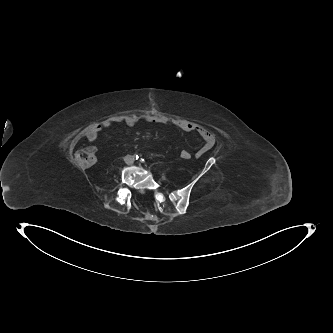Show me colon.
<instances>
[{"label": "colon", "mask_w": 333, "mask_h": 333, "mask_svg": "<svg viewBox=\"0 0 333 333\" xmlns=\"http://www.w3.org/2000/svg\"><path fill=\"white\" fill-rule=\"evenodd\" d=\"M180 157L183 160H190L193 154L186 149L180 150ZM75 161L81 167H90L96 161L95 150L93 148H82L75 153Z\"/></svg>", "instance_id": "obj_1"}]
</instances>
